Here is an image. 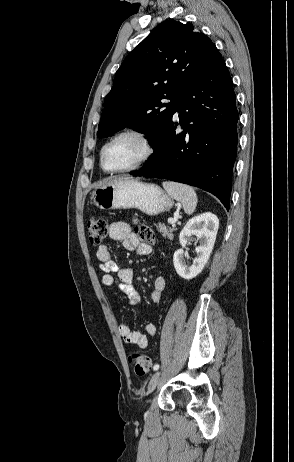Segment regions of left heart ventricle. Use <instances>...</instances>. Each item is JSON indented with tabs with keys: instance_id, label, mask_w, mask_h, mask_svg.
Segmentation results:
<instances>
[{
	"instance_id": "b2bd125f",
	"label": "left heart ventricle",
	"mask_w": 294,
	"mask_h": 462,
	"mask_svg": "<svg viewBox=\"0 0 294 462\" xmlns=\"http://www.w3.org/2000/svg\"><path fill=\"white\" fill-rule=\"evenodd\" d=\"M144 152L142 142L133 136H123L111 143L104 152V166L110 170L128 167Z\"/></svg>"
}]
</instances>
